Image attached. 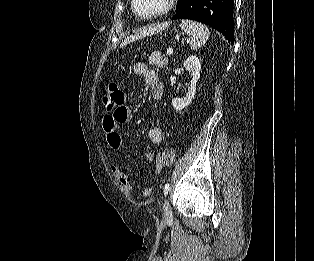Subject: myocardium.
<instances>
[{"label": "myocardium", "instance_id": "1", "mask_svg": "<svg viewBox=\"0 0 314 261\" xmlns=\"http://www.w3.org/2000/svg\"><path fill=\"white\" fill-rule=\"evenodd\" d=\"M176 1L177 0H167L165 6L161 10L156 11V12L151 13V14L140 13L136 8V0H131V8H132L133 13L137 17H139L141 19H152V18H157V17L163 16V15L169 13L173 9Z\"/></svg>", "mask_w": 314, "mask_h": 261}]
</instances>
